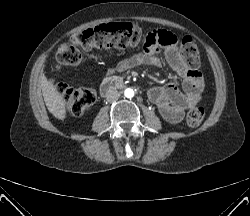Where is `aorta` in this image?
Wrapping results in <instances>:
<instances>
[{
  "label": "aorta",
  "mask_w": 250,
  "mask_h": 216,
  "mask_svg": "<svg viewBox=\"0 0 250 216\" xmlns=\"http://www.w3.org/2000/svg\"><path fill=\"white\" fill-rule=\"evenodd\" d=\"M124 96L126 98H132L134 96V90L131 89V88H127L125 91H124Z\"/></svg>",
  "instance_id": "aorta-1"
}]
</instances>
